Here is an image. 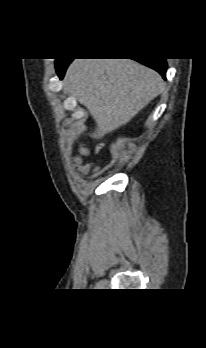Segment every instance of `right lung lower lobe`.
Returning <instances> with one entry per match:
<instances>
[{"label":"right lung lower lobe","instance_id":"right-lung-lower-lobe-1","mask_svg":"<svg viewBox=\"0 0 206 348\" xmlns=\"http://www.w3.org/2000/svg\"><path fill=\"white\" fill-rule=\"evenodd\" d=\"M135 60L156 70L162 75L164 79H166V69H167L166 59L141 58V59H135ZM71 61L72 59L60 60V62L56 64V71L58 73V76L61 79L63 78L66 68Z\"/></svg>","mask_w":206,"mask_h":348}]
</instances>
